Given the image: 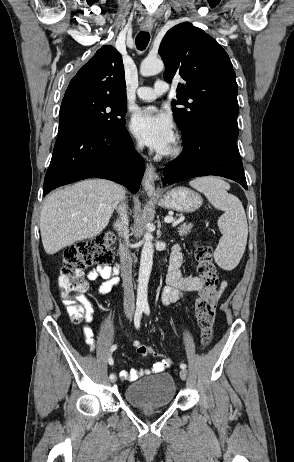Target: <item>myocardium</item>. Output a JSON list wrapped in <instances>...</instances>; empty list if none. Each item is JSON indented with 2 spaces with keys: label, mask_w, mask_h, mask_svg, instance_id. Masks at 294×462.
Listing matches in <instances>:
<instances>
[{
  "label": "myocardium",
  "mask_w": 294,
  "mask_h": 462,
  "mask_svg": "<svg viewBox=\"0 0 294 462\" xmlns=\"http://www.w3.org/2000/svg\"><path fill=\"white\" fill-rule=\"evenodd\" d=\"M182 152V146L179 140L175 143V145L167 152V157L173 158L177 157Z\"/></svg>",
  "instance_id": "f54148a6"
}]
</instances>
